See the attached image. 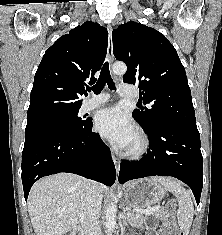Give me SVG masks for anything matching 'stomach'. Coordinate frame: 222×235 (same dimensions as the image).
Here are the masks:
<instances>
[{
    "mask_svg": "<svg viewBox=\"0 0 222 235\" xmlns=\"http://www.w3.org/2000/svg\"><path fill=\"white\" fill-rule=\"evenodd\" d=\"M165 193L163 186L149 179L135 180L125 186V202L130 208H146L159 202Z\"/></svg>",
    "mask_w": 222,
    "mask_h": 235,
    "instance_id": "1",
    "label": "stomach"
}]
</instances>
